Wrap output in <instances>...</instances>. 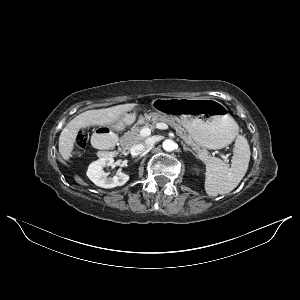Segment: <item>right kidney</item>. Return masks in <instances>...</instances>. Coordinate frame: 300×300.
<instances>
[{
	"instance_id": "ca27d5eb",
	"label": "right kidney",
	"mask_w": 300,
	"mask_h": 300,
	"mask_svg": "<svg viewBox=\"0 0 300 300\" xmlns=\"http://www.w3.org/2000/svg\"><path fill=\"white\" fill-rule=\"evenodd\" d=\"M114 163L112 157H101L88 166L87 177L97 186L102 188H114L124 185L129 180V175L118 172L115 176L109 177L102 169L104 166H111Z\"/></svg>"
}]
</instances>
